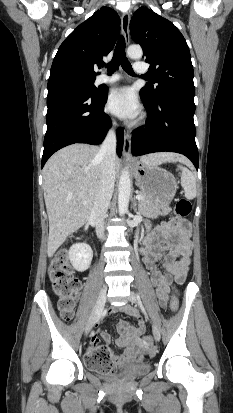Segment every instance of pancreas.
Returning <instances> with one entry per match:
<instances>
[{
	"instance_id": "cf45deb5",
	"label": "pancreas",
	"mask_w": 233,
	"mask_h": 413,
	"mask_svg": "<svg viewBox=\"0 0 233 413\" xmlns=\"http://www.w3.org/2000/svg\"><path fill=\"white\" fill-rule=\"evenodd\" d=\"M142 199L139 200V213L148 216L155 217L158 214L167 215L171 212V208L167 205H163L161 202L154 200L146 194L140 192Z\"/></svg>"
}]
</instances>
